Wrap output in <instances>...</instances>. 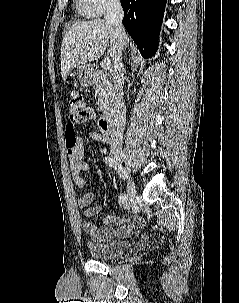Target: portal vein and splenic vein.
I'll list each match as a JSON object with an SVG mask.
<instances>
[{"mask_svg":"<svg viewBox=\"0 0 239 303\" xmlns=\"http://www.w3.org/2000/svg\"><path fill=\"white\" fill-rule=\"evenodd\" d=\"M101 67L103 70H109L111 67V61L110 59H104L101 63Z\"/></svg>","mask_w":239,"mask_h":303,"instance_id":"obj_1","label":"portal vein and splenic vein"}]
</instances>
